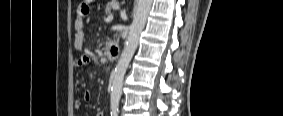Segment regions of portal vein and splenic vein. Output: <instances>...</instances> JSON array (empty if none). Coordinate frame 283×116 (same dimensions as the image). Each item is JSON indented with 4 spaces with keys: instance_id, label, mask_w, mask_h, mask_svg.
Returning <instances> with one entry per match:
<instances>
[{
    "instance_id": "1",
    "label": "portal vein and splenic vein",
    "mask_w": 283,
    "mask_h": 116,
    "mask_svg": "<svg viewBox=\"0 0 283 116\" xmlns=\"http://www.w3.org/2000/svg\"><path fill=\"white\" fill-rule=\"evenodd\" d=\"M113 20V16L112 15H109L107 18H106V22H111Z\"/></svg>"
}]
</instances>
